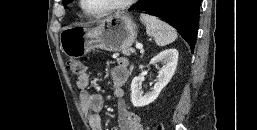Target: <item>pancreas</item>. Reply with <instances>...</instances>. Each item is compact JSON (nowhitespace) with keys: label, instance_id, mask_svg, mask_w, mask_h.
I'll list each match as a JSON object with an SVG mask.
<instances>
[{"label":"pancreas","instance_id":"pancreas-1","mask_svg":"<svg viewBox=\"0 0 257 130\" xmlns=\"http://www.w3.org/2000/svg\"><path fill=\"white\" fill-rule=\"evenodd\" d=\"M134 50L133 49H123L122 50V54L126 55V56H129L130 53H133Z\"/></svg>","mask_w":257,"mask_h":130}]
</instances>
